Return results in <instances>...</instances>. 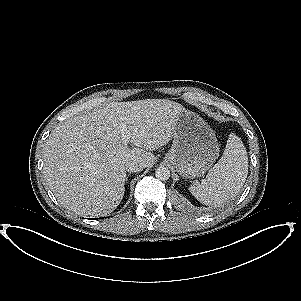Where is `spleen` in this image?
<instances>
[{"instance_id": "spleen-1", "label": "spleen", "mask_w": 301, "mask_h": 301, "mask_svg": "<svg viewBox=\"0 0 301 301\" xmlns=\"http://www.w3.org/2000/svg\"><path fill=\"white\" fill-rule=\"evenodd\" d=\"M247 175V152L240 139L232 137L206 178L201 183L191 185L189 190L203 204H220L240 190Z\"/></svg>"}]
</instances>
